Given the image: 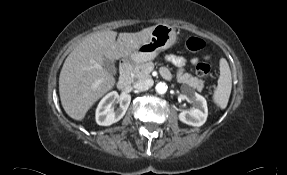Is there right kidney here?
I'll return each instance as SVG.
<instances>
[{"instance_id":"ca27d5eb","label":"right kidney","mask_w":287,"mask_h":175,"mask_svg":"<svg viewBox=\"0 0 287 175\" xmlns=\"http://www.w3.org/2000/svg\"><path fill=\"white\" fill-rule=\"evenodd\" d=\"M118 100L119 108L114 110L113 103ZM131 101V96L129 94L118 95L116 91L108 93L99 102L96 109V122L101 126H110L113 123L118 122L125 115L129 104Z\"/></svg>"}]
</instances>
